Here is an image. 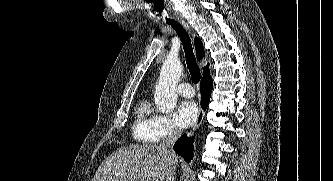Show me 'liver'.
Here are the masks:
<instances>
[{"label":"liver","instance_id":"1","mask_svg":"<svg viewBox=\"0 0 333 181\" xmlns=\"http://www.w3.org/2000/svg\"><path fill=\"white\" fill-rule=\"evenodd\" d=\"M177 163L161 145L121 147L101 163L92 181H165Z\"/></svg>","mask_w":333,"mask_h":181}]
</instances>
